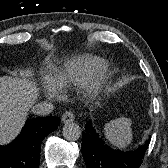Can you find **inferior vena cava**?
<instances>
[{
  "instance_id": "1",
  "label": "inferior vena cava",
  "mask_w": 168,
  "mask_h": 168,
  "mask_svg": "<svg viewBox=\"0 0 168 168\" xmlns=\"http://www.w3.org/2000/svg\"><path fill=\"white\" fill-rule=\"evenodd\" d=\"M53 109L54 105L51 102L44 101L33 106L32 112L36 115L44 116L50 114Z\"/></svg>"
}]
</instances>
